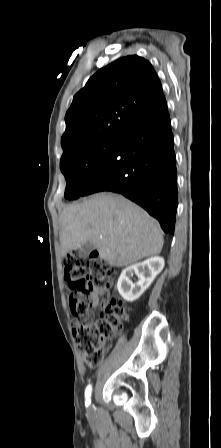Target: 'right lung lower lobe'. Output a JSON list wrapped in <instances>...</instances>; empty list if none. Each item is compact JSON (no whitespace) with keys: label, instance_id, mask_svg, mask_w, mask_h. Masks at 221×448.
Returning a JSON list of instances; mask_svg holds the SVG:
<instances>
[{"label":"right lung lower lobe","instance_id":"1","mask_svg":"<svg viewBox=\"0 0 221 448\" xmlns=\"http://www.w3.org/2000/svg\"><path fill=\"white\" fill-rule=\"evenodd\" d=\"M100 191L124 195L157 218L165 233L174 234L177 170L166 101L121 132L82 196Z\"/></svg>","mask_w":221,"mask_h":448}]
</instances>
